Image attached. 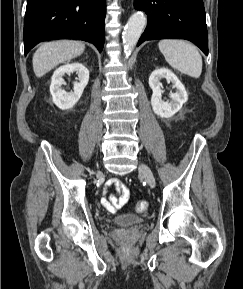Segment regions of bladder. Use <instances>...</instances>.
<instances>
[{"label":"bladder","instance_id":"obj_1","mask_svg":"<svg viewBox=\"0 0 243 289\" xmlns=\"http://www.w3.org/2000/svg\"><path fill=\"white\" fill-rule=\"evenodd\" d=\"M143 221L142 217L129 213L118 215L113 219V223L121 227L135 226L141 224Z\"/></svg>","mask_w":243,"mask_h":289}]
</instances>
